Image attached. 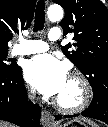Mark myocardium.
<instances>
[{
	"label": "myocardium",
	"mask_w": 108,
	"mask_h": 127,
	"mask_svg": "<svg viewBox=\"0 0 108 127\" xmlns=\"http://www.w3.org/2000/svg\"><path fill=\"white\" fill-rule=\"evenodd\" d=\"M69 78L75 80L80 87V99L75 104H65L59 99L53 100L54 106L65 113H77L86 109L92 99V88L88 79L80 72L74 71L70 73Z\"/></svg>",
	"instance_id": "myocardium-1"
}]
</instances>
